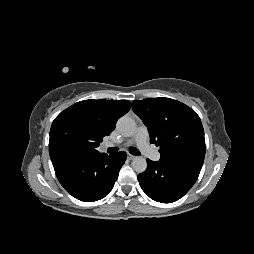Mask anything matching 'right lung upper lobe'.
Returning a JSON list of instances; mask_svg holds the SVG:
<instances>
[{
    "mask_svg": "<svg viewBox=\"0 0 254 254\" xmlns=\"http://www.w3.org/2000/svg\"><path fill=\"white\" fill-rule=\"evenodd\" d=\"M127 100H83L61 112L50 130L51 160L63 156H98L103 137L115 129L117 120L130 110Z\"/></svg>",
    "mask_w": 254,
    "mask_h": 254,
    "instance_id": "right-lung-upper-lobe-1",
    "label": "right lung upper lobe"
}]
</instances>
